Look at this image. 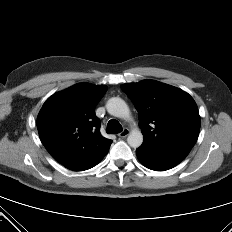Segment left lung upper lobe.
Segmentation results:
<instances>
[{"label":"left lung upper lobe","instance_id":"5c2ea615","mask_svg":"<svg viewBox=\"0 0 232 232\" xmlns=\"http://www.w3.org/2000/svg\"><path fill=\"white\" fill-rule=\"evenodd\" d=\"M139 113L144 141L140 148L163 151L190 150L200 131V116L185 91L153 80L121 86Z\"/></svg>","mask_w":232,"mask_h":232}]
</instances>
